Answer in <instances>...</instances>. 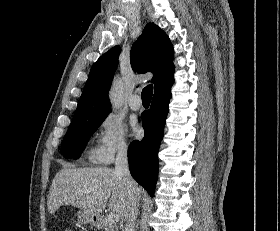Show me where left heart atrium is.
I'll list each match as a JSON object with an SVG mask.
<instances>
[{"label": "left heart atrium", "instance_id": "1", "mask_svg": "<svg viewBox=\"0 0 280 231\" xmlns=\"http://www.w3.org/2000/svg\"><path fill=\"white\" fill-rule=\"evenodd\" d=\"M131 129H132V134H133L134 137L137 138V137L141 136V134H142V129H141V127L138 125L137 122L133 121V122L131 123Z\"/></svg>", "mask_w": 280, "mask_h": 231}]
</instances>
